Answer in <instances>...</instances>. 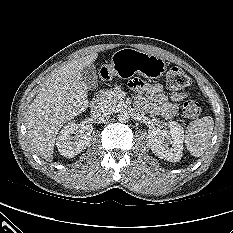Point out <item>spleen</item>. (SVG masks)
I'll return each mask as SVG.
<instances>
[{
    "label": "spleen",
    "instance_id": "obj_1",
    "mask_svg": "<svg viewBox=\"0 0 233 233\" xmlns=\"http://www.w3.org/2000/svg\"><path fill=\"white\" fill-rule=\"evenodd\" d=\"M214 128L211 116H205L192 121L187 127L184 142L190 154L200 157L208 148Z\"/></svg>",
    "mask_w": 233,
    "mask_h": 233
}]
</instances>
